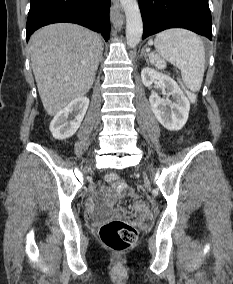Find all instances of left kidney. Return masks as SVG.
I'll return each mask as SVG.
<instances>
[{
	"label": "left kidney",
	"instance_id": "5707ae66",
	"mask_svg": "<svg viewBox=\"0 0 233 284\" xmlns=\"http://www.w3.org/2000/svg\"><path fill=\"white\" fill-rule=\"evenodd\" d=\"M141 79L146 87L158 81L172 96V100H164L155 92L149 96L152 111L159 123L171 131L182 129L188 120L190 102L179 85L168 75L149 67L142 69Z\"/></svg>",
	"mask_w": 233,
	"mask_h": 284
}]
</instances>
